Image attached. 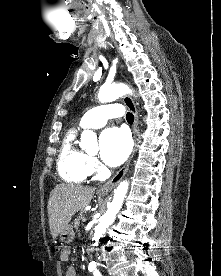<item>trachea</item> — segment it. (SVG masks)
<instances>
[{"label":"trachea","mask_w":221,"mask_h":276,"mask_svg":"<svg viewBox=\"0 0 221 276\" xmlns=\"http://www.w3.org/2000/svg\"><path fill=\"white\" fill-rule=\"evenodd\" d=\"M126 120H127V122L128 123H133V121H134V116H133V114L132 113H130V112H128L127 114H126Z\"/></svg>","instance_id":"obj_1"}]
</instances>
